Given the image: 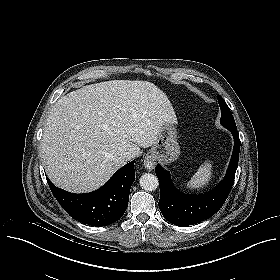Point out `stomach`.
Segmentation results:
<instances>
[{
  "instance_id": "obj_1",
  "label": "stomach",
  "mask_w": 280,
  "mask_h": 280,
  "mask_svg": "<svg viewBox=\"0 0 280 280\" xmlns=\"http://www.w3.org/2000/svg\"><path fill=\"white\" fill-rule=\"evenodd\" d=\"M149 155L162 164L172 163L179 158L180 146L173 124L167 123L162 127Z\"/></svg>"
}]
</instances>
